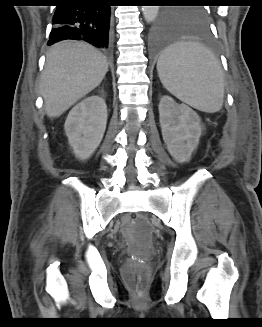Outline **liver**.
<instances>
[{
  "instance_id": "liver-1",
  "label": "liver",
  "mask_w": 262,
  "mask_h": 327,
  "mask_svg": "<svg viewBox=\"0 0 262 327\" xmlns=\"http://www.w3.org/2000/svg\"><path fill=\"white\" fill-rule=\"evenodd\" d=\"M107 72L106 57L90 45L66 40L52 46L40 84L47 116L62 115L95 89Z\"/></svg>"
}]
</instances>
